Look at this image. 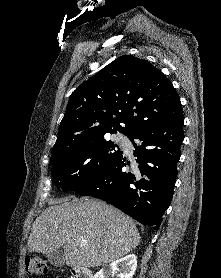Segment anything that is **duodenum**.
Masks as SVG:
<instances>
[{
	"label": "duodenum",
	"mask_w": 221,
	"mask_h": 278,
	"mask_svg": "<svg viewBox=\"0 0 221 278\" xmlns=\"http://www.w3.org/2000/svg\"><path fill=\"white\" fill-rule=\"evenodd\" d=\"M74 278H92V273L85 267L76 266L73 268Z\"/></svg>",
	"instance_id": "410a0bca"
}]
</instances>
